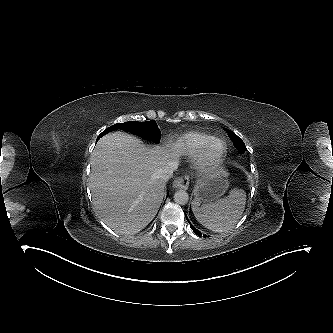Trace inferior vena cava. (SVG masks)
<instances>
[{"label": "inferior vena cava", "mask_w": 333, "mask_h": 333, "mask_svg": "<svg viewBox=\"0 0 333 333\" xmlns=\"http://www.w3.org/2000/svg\"><path fill=\"white\" fill-rule=\"evenodd\" d=\"M178 163L176 161H170L166 166L160 169V178L166 182L172 178L174 170L177 169Z\"/></svg>", "instance_id": "602c4592"}]
</instances>
